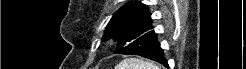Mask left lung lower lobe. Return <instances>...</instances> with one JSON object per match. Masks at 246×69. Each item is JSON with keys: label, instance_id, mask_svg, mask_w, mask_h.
Returning <instances> with one entry per match:
<instances>
[{"label": "left lung lower lobe", "instance_id": "1", "mask_svg": "<svg viewBox=\"0 0 246 69\" xmlns=\"http://www.w3.org/2000/svg\"><path fill=\"white\" fill-rule=\"evenodd\" d=\"M115 53L124 55H140L169 67L154 31L146 32L123 48L117 49Z\"/></svg>", "mask_w": 246, "mask_h": 69}]
</instances>
